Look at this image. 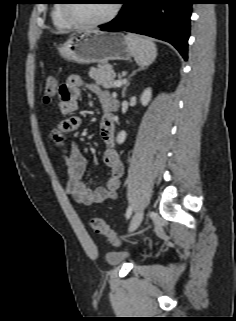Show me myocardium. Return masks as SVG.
<instances>
[{
    "instance_id": "myocardium-1",
    "label": "myocardium",
    "mask_w": 236,
    "mask_h": 321,
    "mask_svg": "<svg viewBox=\"0 0 236 321\" xmlns=\"http://www.w3.org/2000/svg\"><path fill=\"white\" fill-rule=\"evenodd\" d=\"M73 4L74 3H71L70 0H66V3H63V14L68 21H70L73 25L78 27H98V26L105 25L111 22L120 11V3L118 1H115V3H113V7L110 13L103 19L96 20V21H84V20L78 19L73 15L72 13Z\"/></svg>"
}]
</instances>
